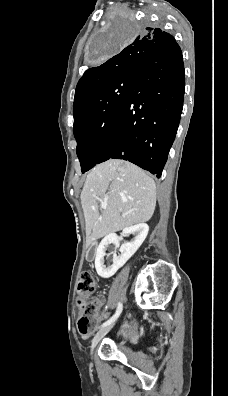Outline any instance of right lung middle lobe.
Segmentation results:
<instances>
[{"label":"right lung middle lobe","instance_id":"obj_1","mask_svg":"<svg viewBox=\"0 0 228 396\" xmlns=\"http://www.w3.org/2000/svg\"><path fill=\"white\" fill-rule=\"evenodd\" d=\"M130 33H138L142 24L133 17L122 19ZM126 39L113 36L98 56L111 54ZM134 74L123 75L105 84L91 95L74 116V136L77 141V155L82 173L94 167L106 150L112 126L132 86Z\"/></svg>","mask_w":228,"mask_h":396}]
</instances>
